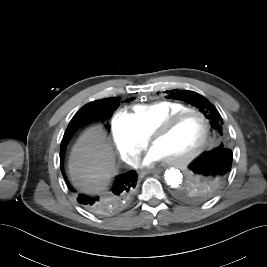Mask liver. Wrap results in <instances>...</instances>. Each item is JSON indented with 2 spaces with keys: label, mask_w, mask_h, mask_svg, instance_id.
Masks as SVG:
<instances>
[{
  "label": "liver",
  "mask_w": 267,
  "mask_h": 267,
  "mask_svg": "<svg viewBox=\"0 0 267 267\" xmlns=\"http://www.w3.org/2000/svg\"><path fill=\"white\" fill-rule=\"evenodd\" d=\"M73 184L88 194L104 190L114 174V156L101 126L87 129L78 139L69 160Z\"/></svg>",
  "instance_id": "obj_1"
}]
</instances>
